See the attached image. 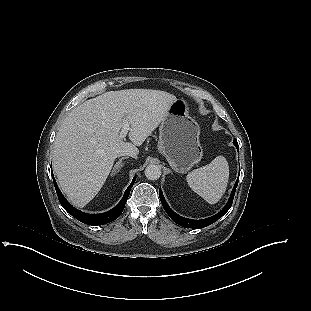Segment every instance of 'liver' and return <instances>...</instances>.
I'll return each instance as SVG.
<instances>
[{
    "label": "liver",
    "mask_w": 311,
    "mask_h": 311,
    "mask_svg": "<svg viewBox=\"0 0 311 311\" xmlns=\"http://www.w3.org/2000/svg\"><path fill=\"white\" fill-rule=\"evenodd\" d=\"M176 96L152 89L109 91L75 107L53 147V170L68 200L87 205L103 187L114 161L140 146L167 116ZM130 142L120 138L123 122Z\"/></svg>",
    "instance_id": "obj_1"
}]
</instances>
